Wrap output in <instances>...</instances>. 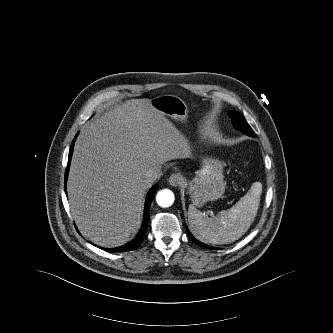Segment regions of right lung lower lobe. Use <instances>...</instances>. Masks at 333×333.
<instances>
[{"label": "right lung lower lobe", "instance_id": "obj_1", "mask_svg": "<svg viewBox=\"0 0 333 333\" xmlns=\"http://www.w3.org/2000/svg\"><path fill=\"white\" fill-rule=\"evenodd\" d=\"M74 142H75V139L73 140L70 151H69L68 166H67L66 173H65V183H66V179H67L71 155L73 152ZM156 189H157V186L156 185L153 186V188L149 191V193L147 195V199H146V203H145V211H144L145 216H144L141 230H140L139 234L137 235V237L134 240H132L131 242H128L127 244H125L124 246H121L118 248H112V249H105V248H101V249H103L105 251H110V252H125V251L133 250L139 246V244L143 241L145 234H146L147 224H148V220H149V207H150L152 199L155 195ZM65 190H66V186H65Z\"/></svg>", "mask_w": 333, "mask_h": 333}]
</instances>
